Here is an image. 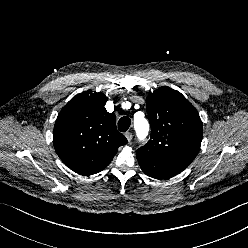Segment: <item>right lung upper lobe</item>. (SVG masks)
Listing matches in <instances>:
<instances>
[{"instance_id": "1", "label": "right lung upper lobe", "mask_w": 248, "mask_h": 248, "mask_svg": "<svg viewBox=\"0 0 248 248\" xmlns=\"http://www.w3.org/2000/svg\"><path fill=\"white\" fill-rule=\"evenodd\" d=\"M107 97L86 91L59 113L53 131L56 153L74 172L92 175L109 165L118 147L127 143L116 129V116L106 111Z\"/></svg>"}]
</instances>
